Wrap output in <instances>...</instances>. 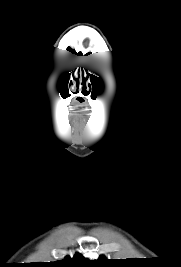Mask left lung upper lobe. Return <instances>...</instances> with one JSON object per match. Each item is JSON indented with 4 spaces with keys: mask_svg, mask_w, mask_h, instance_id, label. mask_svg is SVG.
I'll return each instance as SVG.
<instances>
[{
    "mask_svg": "<svg viewBox=\"0 0 181 267\" xmlns=\"http://www.w3.org/2000/svg\"><path fill=\"white\" fill-rule=\"evenodd\" d=\"M97 262L101 265H110L113 264L114 262H112L111 260H108L107 258H105L104 256L99 257V259L97 260Z\"/></svg>",
    "mask_w": 181,
    "mask_h": 267,
    "instance_id": "1",
    "label": "left lung upper lobe"
}]
</instances>
